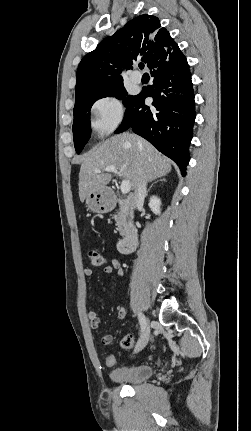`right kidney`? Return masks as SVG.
I'll use <instances>...</instances> for the list:
<instances>
[{
    "instance_id": "ca27d5eb",
    "label": "right kidney",
    "mask_w": 251,
    "mask_h": 431,
    "mask_svg": "<svg viewBox=\"0 0 251 431\" xmlns=\"http://www.w3.org/2000/svg\"><path fill=\"white\" fill-rule=\"evenodd\" d=\"M160 206H161V200L157 196L153 195L152 197H150L149 207L154 214L160 215L161 213Z\"/></svg>"
}]
</instances>
